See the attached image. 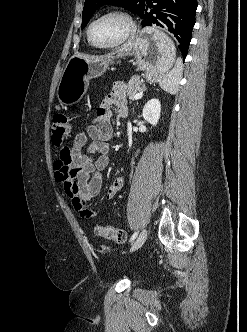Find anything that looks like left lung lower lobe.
Here are the masks:
<instances>
[{"instance_id":"0a47b994","label":"left lung lower lobe","mask_w":247,"mask_h":332,"mask_svg":"<svg viewBox=\"0 0 247 332\" xmlns=\"http://www.w3.org/2000/svg\"><path fill=\"white\" fill-rule=\"evenodd\" d=\"M196 9L197 0H146L140 18L143 19L142 26L156 24L171 32L179 42L181 53L186 57Z\"/></svg>"}]
</instances>
